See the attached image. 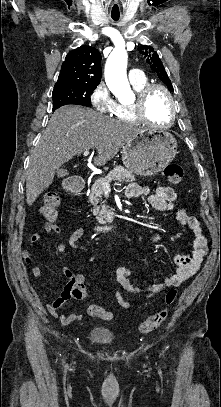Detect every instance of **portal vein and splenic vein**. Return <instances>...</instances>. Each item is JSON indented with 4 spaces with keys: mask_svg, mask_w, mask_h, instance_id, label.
<instances>
[{
    "mask_svg": "<svg viewBox=\"0 0 221 407\" xmlns=\"http://www.w3.org/2000/svg\"><path fill=\"white\" fill-rule=\"evenodd\" d=\"M89 155V150L84 151L83 156L86 157ZM103 188L109 190L110 189V182H102Z\"/></svg>",
    "mask_w": 221,
    "mask_h": 407,
    "instance_id": "18ae733b",
    "label": "portal vein and splenic vein"
}]
</instances>
